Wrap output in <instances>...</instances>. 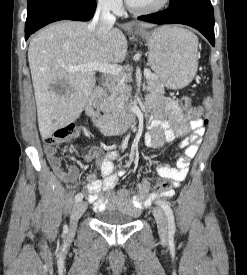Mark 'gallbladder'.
<instances>
[{"label":"gallbladder","instance_id":"bac80fb5","mask_svg":"<svg viewBox=\"0 0 247 275\" xmlns=\"http://www.w3.org/2000/svg\"><path fill=\"white\" fill-rule=\"evenodd\" d=\"M55 88H56L58 91H60V92H62V91H63V89L61 88V86H60V84H59V83L55 86Z\"/></svg>","mask_w":247,"mask_h":275}]
</instances>
